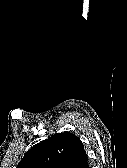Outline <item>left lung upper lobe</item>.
Masks as SVG:
<instances>
[{"instance_id": "5c2ea615", "label": "left lung upper lobe", "mask_w": 127, "mask_h": 168, "mask_svg": "<svg viewBox=\"0 0 127 168\" xmlns=\"http://www.w3.org/2000/svg\"><path fill=\"white\" fill-rule=\"evenodd\" d=\"M87 154L72 133L53 134L28 150L17 168H83Z\"/></svg>"}]
</instances>
